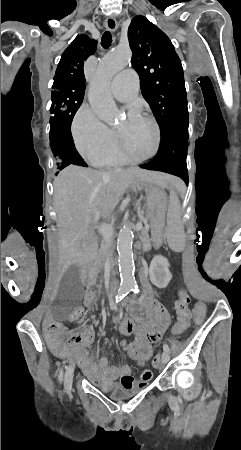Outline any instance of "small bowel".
Instances as JSON below:
<instances>
[{
	"instance_id": "small-bowel-1",
	"label": "small bowel",
	"mask_w": 241,
	"mask_h": 450,
	"mask_svg": "<svg viewBox=\"0 0 241 450\" xmlns=\"http://www.w3.org/2000/svg\"><path fill=\"white\" fill-rule=\"evenodd\" d=\"M96 297L97 293L95 289L89 284L85 290L84 304L87 307H93ZM146 305L153 316H143L138 319V322L143 325H152V327H148L147 331L140 330L139 324H128L131 320H123L120 323V330L123 334L136 333L134 341L127 345V347L133 349V354L128 357L136 363H141L142 360H148L149 355H153L151 343L159 342L162 336V330H167L169 322L171 321V317L166 316V310L164 309L163 304H156L153 298H148L146 300ZM39 317L41 319H50L52 317V312L50 310H41L39 312ZM44 325L46 326L45 334L47 335V346L50 348L56 346L58 343L56 342L57 339L54 335L58 333L56 328H59L61 323L56 320H48ZM172 331H177L180 334L184 330ZM67 333L66 338L71 340L74 337L73 342L76 346L70 347L67 344H63L62 346L57 347L59 348L57 354L60 357H74L89 380L101 388L105 390L110 389L116 379H120L121 386L127 390H132L136 387L144 388L152 381L153 372L150 369L144 370L141 374L140 381L135 383L131 376L129 365L125 363L112 365L107 357H99L96 359L87 357L84 348L89 346L93 341L94 329L92 326H86L76 332H74L72 328H69ZM148 336H157L158 338L155 342H152L149 340Z\"/></svg>"
}]
</instances>
